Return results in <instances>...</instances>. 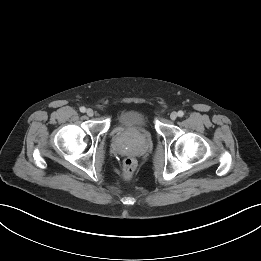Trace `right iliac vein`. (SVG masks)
I'll list each match as a JSON object with an SVG mask.
<instances>
[{
  "label": "right iliac vein",
  "instance_id": "63e3f726",
  "mask_svg": "<svg viewBox=\"0 0 261 261\" xmlns=\"http://www.w3.org/2000/svg\"><path fill=\"white\" fill-rule=\"evenodd\" d=\"M86 113H87V115L89 116V117H92L93 115H94V111L92 110V109H87V111H86Z\"/></svg>",
  "mask_w": 261,
  "mask_h": 261
}]
</instances>
